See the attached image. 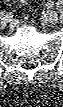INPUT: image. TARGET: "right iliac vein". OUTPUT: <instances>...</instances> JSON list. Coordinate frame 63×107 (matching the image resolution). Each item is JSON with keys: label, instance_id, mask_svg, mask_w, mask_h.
<instances>
[{"label": "right iliac vein", "instance_id": "obj_1", "mask_svg": "<svg viewBox=\"0 0 63 107\" xmlns=\"http://www.w3.org/2000/svg\"><path fill=\"white\" fill-rule=\"evenodd\" d=\"M7 22H8V21H7L6 19L2 18V19H1V26H2V27L6 26V23H7Z\"/></svg>", "mask_w": 63, "mask_h": 107}]
</instances>
